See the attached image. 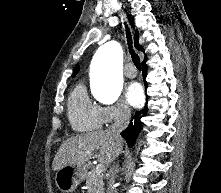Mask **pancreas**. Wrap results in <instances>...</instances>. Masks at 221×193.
Instances as JSON below:
<instances>
[{
	"instance_id": "cf45deb5",
	"label": "pancreas",
	"mask_w": 221,
	"mask_h": 193,
	"mask_svg": "<svg viewBox=\"0 0 221 193\" xmlns=\"http://www.w3.org/2000/svg\"><path fill=\"white\" fill-rule=\"evenodd\" d=\"M86 186L88 193H104L103 175L98 174L96 169H92L87 173Z\"/></svg>"
}]
</instances>
